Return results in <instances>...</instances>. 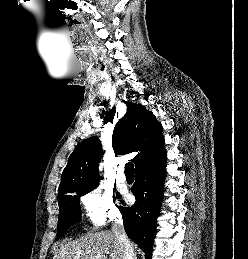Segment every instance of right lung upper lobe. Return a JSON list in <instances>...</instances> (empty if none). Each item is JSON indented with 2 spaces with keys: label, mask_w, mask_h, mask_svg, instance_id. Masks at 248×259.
Returning a JSON list of instances; mask_svg holds the SVG:
<instances>
[{
  "label": "right lung upper lobe",
  "mask_w": 248,
  "mask_h": 259,
  "mask_svg": "<svg viewBox=\"0 0 248 259\" xmlns=\"http://www.w3.org/2000/svg\"><path fill=\"white\" fill-rule=\"evenodd\" d=\"M162 125L152 112L142 105L127 103V113L116 124L112 135V147L115 155L138 153L132 161L135 167L165 152ZM103 151L100 140L92 136L83 141L73 151L63 170L58 197L77 188L98 184V164Z\"/></svg>",
  "instance_id": "obj_1"
}]
</instances>
